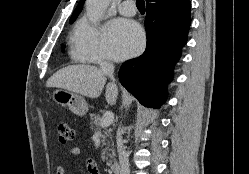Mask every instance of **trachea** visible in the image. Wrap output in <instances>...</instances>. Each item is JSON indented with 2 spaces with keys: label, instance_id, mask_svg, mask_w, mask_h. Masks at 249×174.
Masks as SVG:
<instances>
[{
  "label": "trachea",
  "instance_id": "obj_1",
  "mask_svg": "<svg viewBox=\"0 0 249 174\" xmlns=\"http://www.w3.org/2000/svg\"><path fill=\"white\" fill-rule=\"evenodd\" d=\"M136 6L139 10H145L144 0H136Z\"/></svg>",
  "mask_w": 249,
  "mask_h": 174
}]
</instances>
